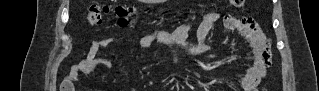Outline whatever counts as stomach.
I'll list each match as a JSON object with an SVG mask.
<instances>
[{"mask_svg": "<svg viewBox=\"0 0 319 91\" xmlns=\"http://www.w3.org/2000/svg\"><path fill=\"white\" fill-rule=\"evenodd\" d=\"M144 2H147V3H157V2H161V0H144Z\"/></svg>", "mask_w": 319, "mask_h": 91, "instance_id": "stomach-1", "label": "stomach"}]
</instances>
